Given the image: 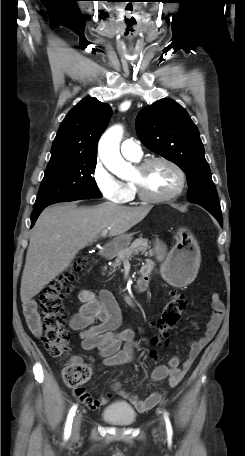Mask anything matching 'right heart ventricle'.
I'll use <instances>...</instances> for the list:
<instances>
[{"label":"right heart ventricle","instance_id":"right-heart-ventricle-1","mask_svg":"<svg viewBox=\"0 0 245 456\" xmlns=\"http://www.w3.org/2000/svg\"><path fill=\"white\" fill-rule=\"evenodd\" d=\"M130 159V158H128ZM131 161L133 162H138L140 159H130ZM125 187H126V190H127V199H126V202H129V201H132L135 197H136V190H135V187L133 186L132 182H127V183H124Z\"/></svg>","mask_w":245,"mask_h":456}]
</instances>
